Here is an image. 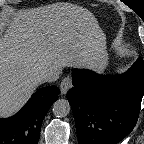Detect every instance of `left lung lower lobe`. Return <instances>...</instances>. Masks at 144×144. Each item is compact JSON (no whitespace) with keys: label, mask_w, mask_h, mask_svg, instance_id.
Masks as SVG:
<instances>
[{"label":"left lung lower lobe","mask_w":144,"mask_h":144,"mask_svg":"<svg viewBox=\"0 0 144 144\" xmlns=\"http://www.w3.org/2000/svg\"><path fill=\"white\" fill-rule=\"evenodd\" d=\"M67 94L79 144H117L136 125L144 95V60L138 58L122 75L89 70L72 73Z\"/></svg>","instance_id":"left-lung-lower-lobe-1"}]
</instances>
